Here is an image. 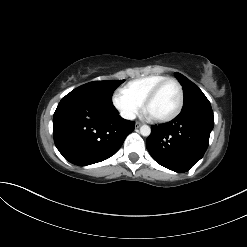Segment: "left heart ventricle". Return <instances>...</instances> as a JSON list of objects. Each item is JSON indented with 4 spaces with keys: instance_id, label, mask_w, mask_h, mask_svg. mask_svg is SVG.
Masks as SVG:
<instances>
[{
    "instance_id": "b2bd125f",
    "label": "left heart ventricle",
    "mask_w": 247,
    "mask_h": 247,
    "mask_svg": "<svg viewBox=\"0 0 247 247\" xmlns=\"http://www.w3.org/2000/svg\"><path fill=\"white\" fill-rule=\"evenodd\" d=\"M179 93L174 83L166 84L147 106V111L153 117L170 115L177 107Z\"/></svg>"
}]
</instances>
